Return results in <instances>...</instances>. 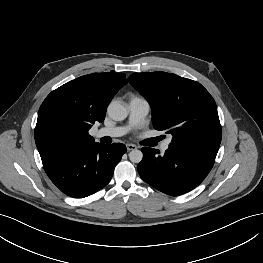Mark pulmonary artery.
Instances as JSON below:
<instances>
[{"instance_id":"obj_1","label":"pulmonary artery","mask_w":263,"mask_h":263,"mask_svg":"<svg viewBox=\"0 0 263 263\" xmlns=\"http://www.w3.org/2000/svg\"><path fill=\"white\" fill-rule=\"evenodd\" d=\"M148 101L140 96H133L129 100V119L125 126L104 127L97 129L94 133L96 138L102 137H120L129 132L132 128L139 126L144 121L149 112ZM171 143V138H168L161 145L162 150H167Z\"/></svg>"}]
</instances>
